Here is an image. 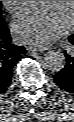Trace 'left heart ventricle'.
<instances>
[{
  "mask_svg": "<svg viewBox=\"0 0 74 122\" xmlns=\"http://www.w3.org/2000/svg\"><path fill=\"white\" fill-rule=\"evenodd\" d=\"M43 4L46 6L54 5L56 6L61 14L67 19L71 20V10L72 4L71 1H43Z\"/></svg>",
  "mask_w": 74,
  "mask_h": 122,
  "instance_id": "left-heart-ventricle-1",
  "label": "left heart ventricle"
}]
</instances>
